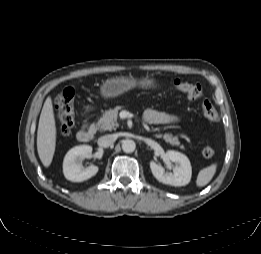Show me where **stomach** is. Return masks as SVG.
I'll list each match as a JSON object with an SVG mask.
<instances>
[{
  "instance_id": "0dacf381",
  "label": "stomach",
  "mask_w": 261,
  "mask_h": 254,
  "mask_svg": "<svg viewBox=\"0 0 261 254\" xmlns=\"http://www.w3.org/2000/svg\"><path fill=\"white\" fill-rule=\"evenodd\" d=\"M137 86L143 89H156L158 87L153 78L137 80L134 77L119 76L106 80L100 88V94L104 98H114Z\"/></svg>"
}]
</instances>
